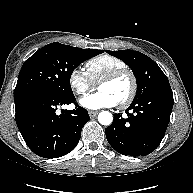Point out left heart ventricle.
<instances>
[{"instance_id":"left-heart-ventricle-1","label":"left heart ventricle","mask_w":193,"mask_h":193,"mask_svg":"<svg viewBox=\"0 0 193 193\" xmlns=\"http://www.w3.org/2000/svg\"><path fill=\"white\" fill-rule=\"evenodd\" d=\"M98 89L99 91L109 93L117 103H120L125 100L130 93L131 80L128 76H123L116 81L101 84Z\"/></svg>"}]
</instances>
